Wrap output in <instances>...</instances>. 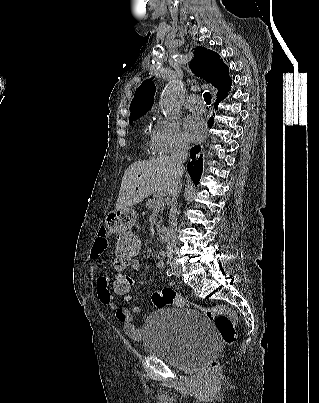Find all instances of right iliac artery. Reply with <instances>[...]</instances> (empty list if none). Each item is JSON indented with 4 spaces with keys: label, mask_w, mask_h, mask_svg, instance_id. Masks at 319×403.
Here are the masks:
<instances>
[{
    "label": "right iliac artery",
    "mask_w": 319,
    "mask_h": 403,
    "mask_svg": "<svg viewBox=\"0 0 319 403\" xmlns=\"http://www.w3.org/2000/svg\"><path fill=\"white\" fill-rule=\"evenodd\" d=\"M166 273L168 276H172L174 274L173 269H168Z\"/></svg>",
    "instance_id": "82829eb1"
}]
</instances>
